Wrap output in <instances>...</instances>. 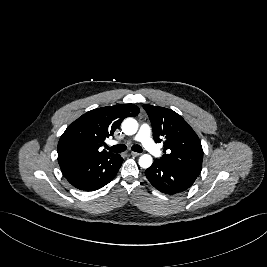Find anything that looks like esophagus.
Instances as JSON below:
<instances>
[{
  "label": "esophagus",
  "instance_id": "esophagus-1",
  "mask_svg": "<svg viewBox=\"0 0 267 267\" xmlns=\"http://www.w3.org/2000/svg\"><path fill=\"white\" fill-rule=\"evenodd\" d=\"M133 157H138L140 155V153H137V152H131L130 153Z\"/></svg>",
  "mask_w": 267,
  "mask_h": 267
}]
</instances>
